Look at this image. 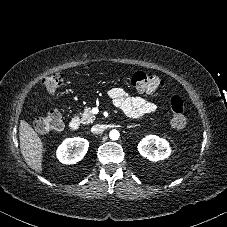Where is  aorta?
<instances>
[{"label":"aorta","instance_id":"1","mask_svg":"<svg viewBox=\"0 0 227 227\" xmlns=\"http://www.w3.org/2000/svg\"><path fill=\"white\" fill-rule=\"evenodd\" d=\"M109 137H110L111 140H118L119 137H120V133H119L118 130H112L109 133Z\"/></svg>","mask_w":227,"mask_h":227}]
</instances>
